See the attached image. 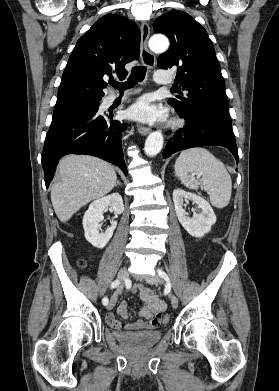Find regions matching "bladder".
<instances>
[{
    "mask_svg": "<svg viewBox=\"0 0 279 391\" xmlns=\"http://www.w3.org/2000/svg\"><path fill=\"white\" fill-rule=\"evenodd\" d=\"M160 330L119 331L114 330V338L132 349H141L157 343L161 338Z\"/></svg>",
    "mask_w": 279,
    "mask_h": 391,
    "instance_id": "31cf9c89",
    "label": "bladder"
}]
</instances>
